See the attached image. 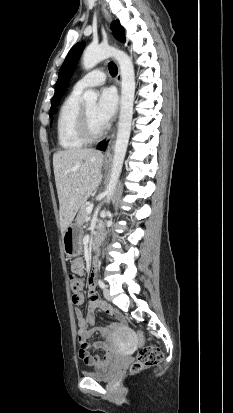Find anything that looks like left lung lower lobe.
Listing matches in <instances>:
<instances>
[{"label": "left lung lower lobe", "instance_id": "obj_1", "mask_svg": "<svg viewBox=\"0 0 233 413\" xmlns=\"http://www.w3.org/2000/svg\"><path fill=\"white\" fill-rule=\"evenodd\" d=\"M107 144H108V141H107V142H103L101 145H99V146L97 147V149H99V150H105L106 147H107Z\"/></svg>", "mask_w": 233, "mask_h": 413}]
</instances>
